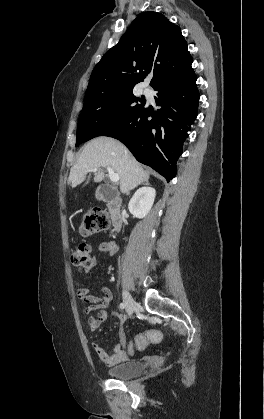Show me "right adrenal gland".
<instances>
[{"label": "right adrenal gland", "instance_id": "right-adrenal-gland-1", "mask_svg": "<svg viewBox=\"0 0 264 419\" xmlns=\"http://www.w3.org/2000/svg\"><path fill=\"white\" fill-rule=\"evenodd\" d=\"M143 184H145V185H149L148 181L144 182ZM128 194H129V193H128Z\"/></svg>", "mask_w": 264, "mask_h": 419}]
</instances>
